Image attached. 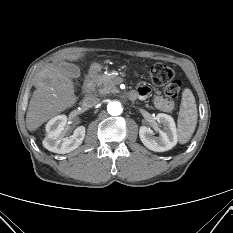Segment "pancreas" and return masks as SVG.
Masks as SVG:
<instances>
[{
    "mask_svg": "<svg viewBox=\"0 0 233 233\" xmlns=\"http://www.w3.org/2000/svg\"><path fill=\"white\" fill-rule=\"evenodd\" d=\"M95 87L100 94L105 95L109 93H113L116 90V76L115 75H106L99 74L95 75L92 79Z\"/></svg>",
    "mask_w": 233,
    "mask_h": 233,
    "instance_id": "pancreas-1",
    "label": "pancreas"
}]
</instances>
